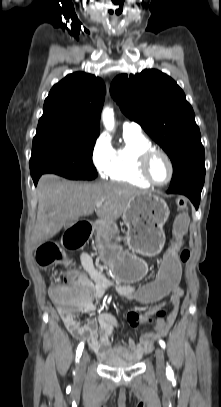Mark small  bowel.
<instances>
[{
    "label": "small bowel",
    "mask_w": 221,
    "mask_h": 407,
    "mask_svg": "<svg viewBox=\"0 0 221 407\" xmlns=\"http://www.w3.org/2000/svg\"><path fill=\"white\" fill-rule=\"evenodd\" d=\"M79 258L84 271L93 283L91 290L92 297L100 299L107 291L113 290L122 298L137 300L135 298V293L137 292L136 286L128 282L113 285L95 268L93 260L89 254L82 253ZM165 293L166 296L170 297L172 304L171 311L165 318L157 319L153 330L143 334L139 343L130 339L128 348L119 345L113 346L110 343L109 338L118 325L112 312H103L99 315L97 320H89L83 324L73 314L63 313L61 311L60 314L67 330L72 336L76 339H84L88 346L100 356L113 359L138 360L152 349L156 339L167 334L178 315L183 290L180 286H176V292ZM165 302L164 299L162 301H157L154 309H152L151 305H137L135 310L130 311L128 314L129 323L133 326L144 325L147 317L139 314H151L152 310H164L166 306ZM85 311L88 314H94L96 312V306L90 302L88 298L85 304Z\"/></svg>",
    "instance_id": "small-bowel-1"
}]
</instances>
